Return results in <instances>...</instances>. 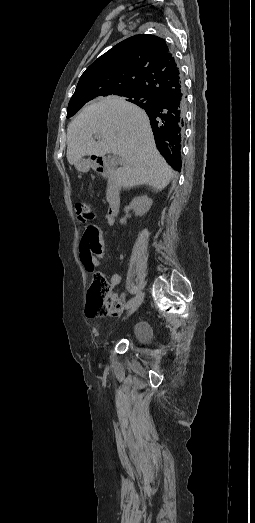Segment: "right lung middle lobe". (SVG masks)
<instances>
[{
    "instance_id": "right-lung-middle-lobe-1",
    "label": "right lung middle lobe",
    "mask_w": 255,
    "mask_h": 523,
    "mask_svg": "<svg viewBox=\"0 0 255 523\" xmlns=\"http://www.w3.org/2000/svg\"><path fill=\"white\" fill-rule=\"evenodd\" d=\"M118 97H125L127 98V101H130V102H137V101H143V100H146L148 98V95L144 92H140V91H130V92H125V93H122L120 95H118ZM84 105H72V106H68V114H67V117H71L73 116L74 114H76L77 111H79Z\"/></svg>"
}]
</instances>
